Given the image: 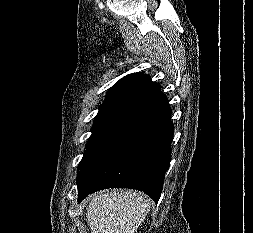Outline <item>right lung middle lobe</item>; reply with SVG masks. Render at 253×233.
<instances>
[{
	"label": "right lung middle lobe",
	"instance_id": "obj_1",
	"mask_svg": "<svg viewBox=\"0 0 253 233\" xmlns=\"http://www.w3.org/2000/svg\"><path fill=\"white\" fill-rule=\"evenodd\" d=\"M135 105L136 104L132 102H113L103 103V105H101L99 112L95 117V122L92 127V135L88 140L86 151L79 167Z\"/></svg>",
	"mask_w": 253,
	"mask_h": 233
}]
</instances>
